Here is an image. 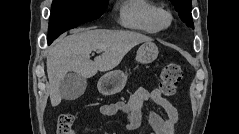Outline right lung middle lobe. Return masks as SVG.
<instances>
[{
    "mask_svg": "<svg viewBox=\"0 0 239 134\" xmlns=\"http://www.w3.org/2000/svg\"><path fill=\"white\" fill-rule=\"evenodd\" d=\"M108 0H53L49 22L48 40L63 32L99 18Z\"/></svg>",
    "mask_w": 239,
    "mask_h": 134,
    "instance_id": "1",
    "label": "right lung middle lobe"
}]
</instances>
